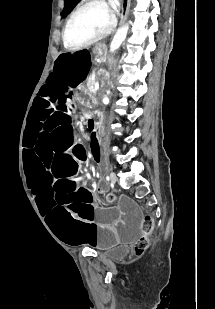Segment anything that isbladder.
<instances>
[{
	"instance_id": "obj_1",
	"label": "bladder",
	"mask_w": 215,
	"mask_h": 309,
	"mask_svg": "<svg viewBox=\"0 0 215 309\" xmlns=\"http://www.w3.org/2000/svg\"><path fill=\"white\" fill-rule=\"evenodd\" d=\"M126 254H127V249H125V248H116V249H113V250L109 251L107 253V256L110 259L117 260V259L123 258Z\"/></svg>"
}]
</instances>
